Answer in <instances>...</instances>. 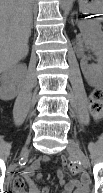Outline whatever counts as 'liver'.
<instances>
[{
	"instance_id": "6515ba94",
	"label": "liver",
	"mask_w": 103,
	"mask_h": 193,
	"mask_svg": "<svg viewBox=\"0 0 103 193\" xmlns=\"http://www.w3.org/2000/svg\"><path fill=\"white\" fill-rule=\"evenodd\" d=\"M32 0H1V72L15 66L28 54Z\"/></svg>"
}]
</instances>
